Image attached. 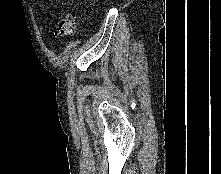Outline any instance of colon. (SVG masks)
Masks as SVG:
<instances>
[{
  "label": "colon",
  "instance_id": "5ec220e1",
  "mask_svg": "<svg viewBox=\"0 0 221 174\" xmlns=\"http://www.w3.org/2000/svg\"><path fill=\"white\" fill-rule=\"evenodd\" d=\"M78 22L74 13L68 12L57 23L56 35L58 38L72 36L77 28Z\"/></svg>",
  "mask_w": 221,
  "mask_h": 174
}]
</instances>
